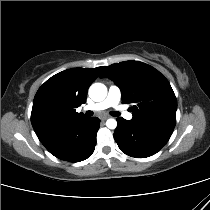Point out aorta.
I'll return each mask as SVG.
<instances>
[{"instance_id": "aorta-1", "label": "aorta", "mask_w": 210, "mask_h": 210, "mask_svg": "<svg viewBox=\"0 0 210 210\" xmlns=\"http://www.w3.org/2000/svg\"><path fill=\"white\" fill-rule=\"evenodd\" d=\"M107 96V88L102 83H94L89 88V97L95 101H103ZM106 126L109 129H115L117 127V121L115 119H108L106 121Z\"/></svg>"}]
</instances>
